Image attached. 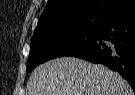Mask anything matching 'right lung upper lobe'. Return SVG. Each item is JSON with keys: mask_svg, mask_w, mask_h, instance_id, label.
<instances>
[{"mask_svg": "<svg viewBox=\"0 0 135 95\" xmlns=\"http://www.w3.org/2000/svg\"><path fill=\"white\" fill-rule=\"evenodd\" d=\"M135 15V0H48L34 36L96 31L110 20Z\"/></svg>", "mask_w": 135, "mask_h": 95, "instance_id": "right-lung-upper-lobe-1", "label": "right lung upper lobe"}]
</instances>
